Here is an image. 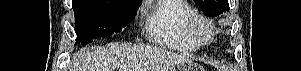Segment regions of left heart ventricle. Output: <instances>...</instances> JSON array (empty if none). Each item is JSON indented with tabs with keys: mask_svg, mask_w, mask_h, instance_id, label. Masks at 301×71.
Here are the masks:
<instances>
[{
	"mask_svg": "<svg viewBox=\"0 0 301 71\" xmlns=\"http://www.w3.org/2000/svg\"><path fill=\"white\" fill-rule=\"evenodd\" d=\"M200 31H201V33H202V35H203L204 37L207 36L208 32H207V29H206V28L201 27V28H200Z\"/></svg>",
	"mask_w": 301,
	"mask_h": 71,
	"instance_id": "1",
	"label": "left heart ventricle"
}]
</instances>
